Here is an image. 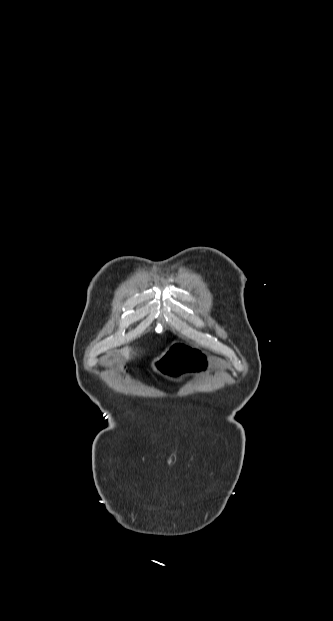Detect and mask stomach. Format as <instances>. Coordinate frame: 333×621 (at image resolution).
Instances as JSON below:
<instances>
[{
  "instance_id": "obj_1",
  "label": "stomach",
  "mask_w": 333,
  "mask_h": 621,
  "mask_svg": "<svg viewBox=\"0 0 333 621\" xmlns=\"http://www.w3.org/2000/svg\"><path fill=\"white\" fill-rule=\"evenodd\" d=\"M202 354L203 347L199 343L180 340L162 351L157 362L162 370L172 371L175 377L184 379L190 375L192 365L195 367L202 366L203 361L199 358Z\"/></svg>"
}]
</instances>
